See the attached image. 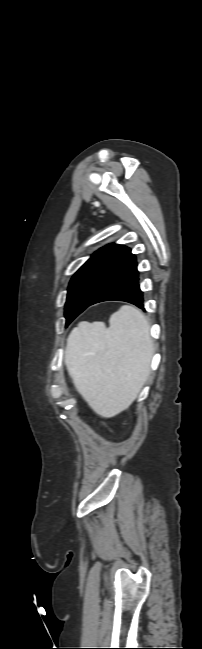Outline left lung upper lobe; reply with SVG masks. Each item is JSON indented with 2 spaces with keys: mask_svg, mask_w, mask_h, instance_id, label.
Masks as SVG:
<instances>
[{
  "mask_svg": "<svg viewBox=\"0 0 202 649\" xmlns=\"http://www.w3.org/2000/svg\"><path fill=\"white\" fill-rule=\"evenodd\" d=\"M131 249L109 244L100 248L72 277L65 304L66 326L69 325L125 261Z\"/></svg>",
  "mask_w": 202,
  "mask_h": 649,
  "instance_id": "obj_1",
  "label": "left lung upper lobe"
}]
</instances>
